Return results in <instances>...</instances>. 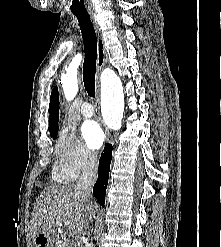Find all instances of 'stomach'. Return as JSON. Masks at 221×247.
Listing matches in <instances>:
<instances>
[{
    "instance_id": "1",
    "label": "stomach",
    "mask_w": 221,
    "mask_h": 247,
    "mask_svg": "<svg viewBox=\"0 0 221 247\" xmlns=\"http://www.w3.org/2000/svg\"><path fill=\"white\" fill-rule=\"evenodd\" d=\"M55 236L52 231L39 232L34 238L33 243L35 247H52Z\"/></svg>"
}]
</instances>
